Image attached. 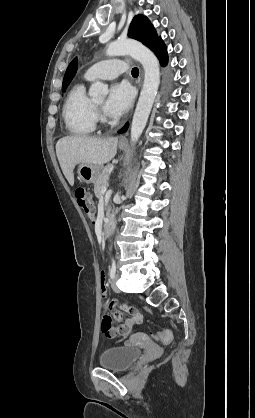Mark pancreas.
I'll return each instance as SVG.
<instances>
[{
    "label": "pancreas",
    "mask_w": 255,
    "mask_h": 418,
    "mask_svg": "<svg viewBox=\"0 0 255 418\" xmlns=\"http://www.w3.org/2000/svg\"><path fill=\"white\" fill-rule=\"evenodd\" d=\"M112 168H113L112 165H107L106 167H104L101 174L94 182V193L97 198L101 196L102 188L108 186L109 174Z\"/></svg>",
    "instance_id": "pancreas-1"
}]
</instances>
